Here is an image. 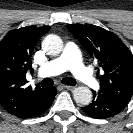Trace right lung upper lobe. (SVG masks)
Instances as JSON below:
<instances>
[{
    "instance_id": "obj_1",
    "label": "right lung upper lobe",
    "mask_w": 133,
    "mask_h": 133,
    "mask_svg": "<svg viewBox=\"0 0 133 133\" xmlns=\"http://www.w3.org/2000/svg\"><path fill=\"white\" fill-rule=\"evenodd\" d=\"M49 28L22 27L9 31L0 41V104L17 117L34 112L49 90L26 85V73L33 71V49Z\"/></svg>"
}]
</instances>
